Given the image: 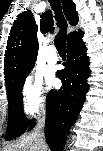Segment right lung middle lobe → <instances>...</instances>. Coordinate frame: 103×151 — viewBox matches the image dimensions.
I'll return each instance as SVG.
<instances>
[{
    "instance_id": "right-lung-middle-lobe-1",
    "label": "right lung middle lobe",
    "mask_w": 103,
    "mask_h": 151,
    "mask_svg": "<svg viewBox=\"0 0 103 151\" xmlns=\"http://www.w3.org/2000/svg\"><path fill=\"white\" fill-rule=\"evenodd\" d=\"M32 68L24 72L9 87L6 88L9 103L8 125L5 138L7 141L22 135L33 122H30L25 117L22 104V88L24 80Z\"/></svg>"
}]
</instances>
